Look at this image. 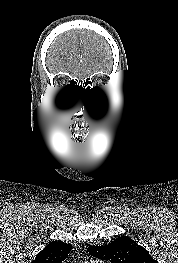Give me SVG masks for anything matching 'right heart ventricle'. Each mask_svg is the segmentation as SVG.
Listing matches in <instances>:
<instances>
[{"instance_id": "e07e8e85", "label": "right heart ventricle", "mask_w": 178, "mask_h": 263, "mask_svg": "<svg viewBox=\"0 0 178 263\" xmlns=\"http://www.w3.org/2000/svg\"><path fill=\"white\" fill-rule=\"evenodd\" d=\"M90 263H97V262H94V261H93V262H90Z\"/></svg>"}]
</instances>
